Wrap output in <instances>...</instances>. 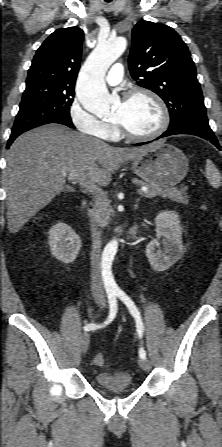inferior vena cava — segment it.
I'll return each mask as SVG.
<instances>
[{
    "mask_svg": "<svg viewBox=\"0 0 222 447\" xmlns=\"http://www.w3.org/2000/svg\"><path fill=\"white\" fill-rule=\"evenodd\" d=\"M92 232V268H91V284L92 293L100 301H104V291L101 279L100 251H101V231L95 220H91Z\"/></svg>",
    "mask_w": 222,
    "mask_h": 447,
    "instance_id": "602c4592",
    "label": "inferior vena cava"
}]
</instances>
